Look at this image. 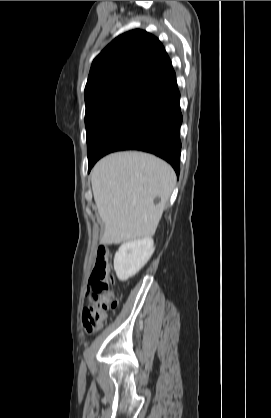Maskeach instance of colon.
<instances>
[{
	"mask_svg": "<svg viewBox=\"0 0 271 418\" xmlns=\"http://www.w3.org/2000/svg\"><path fill=\"white\" fill-rule=\"evenodd\" d=\"M90 284L87 293L88 305L83 310V325L87 332L92 333L103 326L109 313L117 305L112 288L114 279L110 271L109 253L105 247H100L97 251Z\"/></svg>",
	"mask_w": 271,
	"mask_h": 418,
	"instance_id": "1",
	"label": "colon"
}]
</instances>
